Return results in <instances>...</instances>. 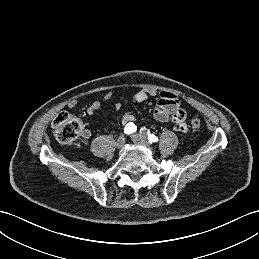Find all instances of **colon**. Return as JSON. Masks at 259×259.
I'll use <instances>...</instances> for the list:
<instances>
[{"mask_svg": "<svg viewBox=\"0 0 259 259\" xmlns=\"http://www.w3.org/2000/svg\"><path fill=\"white\" fill-rule=\"evenodd\" d=\"M191 130L198 133L201 129V121L198 118L192 119L190 123ZM56 139L62 144H70L74 142L82 131V121L71 114H59L52 125Z\"/></svg>", "mask_w": 259, "mask_h": 259, "instance_id": "colon-1", "label": "colon"}]
</instances>
